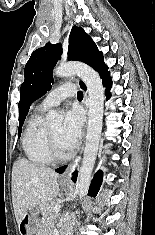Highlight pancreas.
Masks as SVG:
<instances>
[{
    "mask_svg": "<svg viewBox=\"0 0 155 235\" xmlns=\"http://www.w3.org/2000/svg\"><path fill=\"white\" fill-rule=\"evenodd\" d=\"M59 203V199H54L50 203L43 204L42 210L44 217L48 219L49 217L53 216L55 213L54 207L59 205Z\"/></svg>",
    "mask_w": 155,
    "mask_h": 235,
    "instance_id": "obj_1",
    "label": "pancreas"
}]
</instances>
